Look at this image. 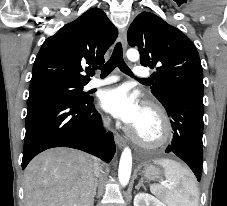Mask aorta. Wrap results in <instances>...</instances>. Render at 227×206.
<instances>
[{"label":"aorta","instance_id":"aorta-1","mask_svg":"<svg viewBox=\"0 0 227 206\" xmlns=\"http://www.w3.org/2000/svg\"><path fill=\"white\" fill-rule=\"evenodd\" d=\"M127 58L130 61H137L139 59V52L136 49H129L126 53ZM132 169V154L131 150L126 147L120 158L119 169H118V178L120 185L126 186L130 180Z\"/></svg>","mask_w":227,"mask_h":206}]
</instances>
